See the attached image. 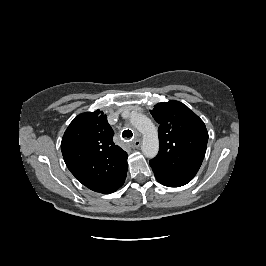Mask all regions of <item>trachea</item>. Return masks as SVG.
<instances>
[{
	"mask_svg": "<svg viewBox=\"0 0 266 266\" xmlns=\"http://www.w3.org/2000/svg\"><path fill=\"white\" fill-rule=\"evenodd\" d=\"M132 136H133V133L129 129L128 130H124L122 132V137L125 138V139H130V138H132Z\"/></svg>",
	"mask_w": 266,
	"mask_h": 266,
	"instance_id": "3493384b",
	"label": "trachea"
}]
</instances>
